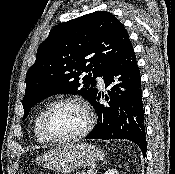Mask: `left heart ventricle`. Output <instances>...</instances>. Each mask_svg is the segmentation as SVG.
<instances>
[{
    "label": "left heart ventricle",
    "mask_w": 175,
    "mask_h": 174,
    "mask_svg": "<svg viewBox=\"0 0 175 174\" xmlns=\"http://www.w3.org/2000/svg\"><path fill=\"white\" fill-rule=\"evenodd\" d=\"M86 123L83 110L76 104H61L48 118L50 132L57 137H68L80 132Z\"/></svg>",
    "instance_id": "b2bd125f"
}]
</instances>
